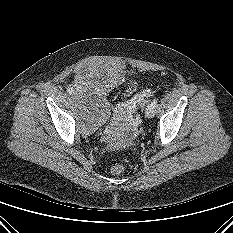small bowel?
Instances as JSON below:
<instances>
[{
  "label": "small bowel",
  "mask_w": 233,
  "mask_h": 233,
  "mask_svg": "<svg viewBox=\"0 0 233 233\" xmlns=\"http://www.w3.org/2000/svg\"><path fill=\"white\" fill-rule=\"evenodd\" d=\"M141 104H142V99L141 98H134V99L129 101L128 106L130 108H132V107H135V106H139Z\"/></svg>",
  "instance_id": "c3829d8e"
}]
</instances>
